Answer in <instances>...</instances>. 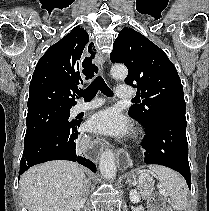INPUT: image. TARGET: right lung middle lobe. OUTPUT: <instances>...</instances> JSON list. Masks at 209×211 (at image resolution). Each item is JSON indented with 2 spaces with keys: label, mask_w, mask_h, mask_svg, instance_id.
Masks as SVG:
<instances>
[{
  "label": "right lung middle lobe",
  "mask_w": 209,
  "mask_h": 211,
  "mask_svg": "<svg viewBox=\"0 0 209 211\" xmlns=\"http://www.w3.org/2000/svg\"><path fill=\"white\" fill-rule=\"evenodd\" d=\"M69 116L70 108L51 107L28 112L24 148L28 147L54 128L73 122L74 120H70Z\"/></svg>",
  "instance_id": "right-lung-middle-lobe-1"
}]
</instances>
